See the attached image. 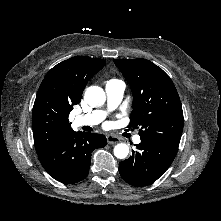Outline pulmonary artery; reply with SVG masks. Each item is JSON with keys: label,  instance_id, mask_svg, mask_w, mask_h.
<instances>
[{"label": "pulmonary artery", "instance_id": "1", "mask_svg": "<svg viewBox=\"0 0 221 221\" xmlns=\"http://www.w3.org/2000/svg\"><path fill=\"white\" fill-rule=\"evenodd\" d=\"M125 90V84L119 80L108 81L105 87L107 95V110H95L85 115H79L76 117L75 122L77 125H97L102 122L109 111L117 108L120 104ZM134 142H140V136L134 137Z\"/></svg>", "mask_w": 221, "mask_h": 221}]
</instances>
